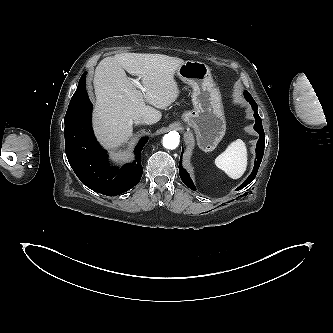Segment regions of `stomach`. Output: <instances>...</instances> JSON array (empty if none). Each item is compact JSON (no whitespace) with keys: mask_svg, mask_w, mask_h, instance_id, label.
<instances>
[{"mask_svg":"<svg viewBox=\"0 0 333 333\" xmlns=\"http://www.w3.org/2000/svg\"><path fill=\"white\" fill-rule=\"evenodd\" d=\"M178 77L193 89L194 109L184 112L183 121L197 137L198 146L205 152L213 151L226 131V121L219 89L215 86L209 66L187 60L177 68Z\"/></svg>","mask_w":333,"mask_h":333,"instance_id":"obj_1","label":"stomach"}]
</instances>
